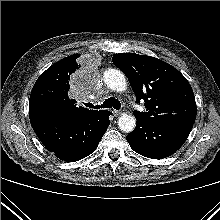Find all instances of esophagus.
I'll return each instance as SVG.
<instances>
[{
	"label": "esophagus",
	"instance_id": "esophagus-1",
	"mask_svg": "<svg viewBox=\"0 0 220 220\" xmlns=\"http://www.w3.org/2000/svg\"><path fill=\"white\" fill-rule=\"evenodd\" d=\"M112 113L115 117H118L121 115V111H119V110H113Z\"/></svg>",
	"mask_w": 220,
	"mask_h": 220
}]
</instances>
